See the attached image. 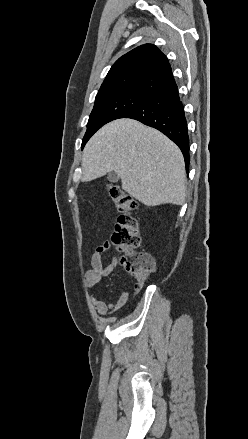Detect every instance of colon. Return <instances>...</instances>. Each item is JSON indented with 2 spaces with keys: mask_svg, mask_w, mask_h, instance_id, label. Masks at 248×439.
Wrapping results in <instances>:
<instances>
[{
  "mask_svg": "<svg viewBox=\"0 0 248 439\" xmlns=\"http://www.w3.org/2000/svg\"><path fill=\"white\" fill-rule=\"evenodd\" d=\"M109 194L120 212L111 238L113 245L123 252L121 264L134 277L135 285L142 286L155 268L153 257L146 252H139L140 235L137 220L132 216L136 209L135 200L120 186L110 185Z\"/></svg>",
  "mask_w": 248,
  "mask_h": 439,
  "instance_id": "colon-1",
  "label": "colon"
}]
</instances>
